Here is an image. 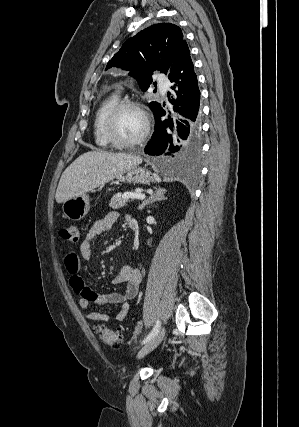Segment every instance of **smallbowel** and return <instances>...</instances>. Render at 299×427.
Instances as JSON below:
<instances>
[{"instance_id": "1", "label": "small bowel", "mask_w": 299, "mask_h": 427, "mask_svg": "<svg viewBox=\"0 0 299 427\" xmlns=\"http://www.w3.org/2000/svg\"><path fill=\"white\" fill-rule=\"evenodd\" d=\"M118 219V213L109 212L103 218L96 221L89 229L85 240L80 246V255L70 252L65 256L64 264L69 274L72 289L79 295V305L85 310L84 317L90 321L108 322L112 319L123 321L129 311L130 301L138 293L141 283V272L139 269L125 265L114 277L117 284H125V291L120 292H96L86 285L80 276L81 259H89L93 241L102 234L109 231ZM94 303L99 306L108 304L118 305V311L112 315L106 312L90 311L89 306Z\"/></svg>"}]
</instances>
